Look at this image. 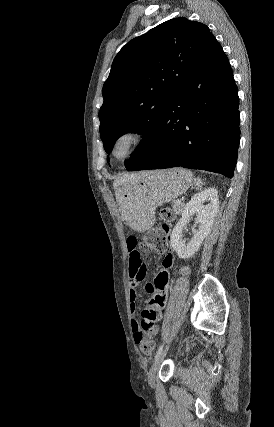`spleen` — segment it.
I'll use <instances>...</instances> for the list:
<instances>
[{"mask_svg": "<svg viewBox=\"0 0 274 427\" xmlns=\"http://www.w3.org/2000/svg\"><path fill=\"white\" fill-rule=\"evenodd\" d=\"M194 184H196V186H198V188H201L202 182H201L200 178H197V180H194Z\"/></svg>", "mask_w": 274, "mask_h": 427, "instance_id": "spleen-1", "label": "spleen"}]
</instances>
